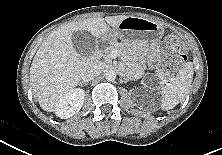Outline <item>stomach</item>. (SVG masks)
Returning <instances> with one entry per match:
<instances>
[{"label":"stomach","mask_w":222,"mask_h":155,"mask_svg":"<svg viewBox=\"0 0 222 155\" xmlns=\"http://www.w3.org/2000/svg\"><path fill=\"white\" fill-rule=\"evenodd\" d=\"M163 27L149 19L140 17H127L118 26L100 37L105 44H116L120 39L125 44L140 45L154 42L163 36Z\"/></svg>","instance_id":"stomach-1"}]
</instances>
